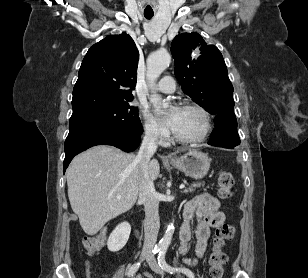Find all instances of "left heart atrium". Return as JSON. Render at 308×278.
Returning <instances> with one entry per match:
<instances>
[{
  "label": "left heart atrium",
  "instance_id": "left-heart-atrium-1",
  "mask_svg": "<svg viewBox=\"0 0 308 278\" xmlns=\"http://www.w3.org/2000/svg\"><path fill=\"white\" fill-rule=\"evenodd\" d=\"M181 109L179 107H173L167 117L164 119V123L173 131L175 130Z\"/></svg>",
  "mask_w": 308,
  "mask_h": 278
}]
</instances>
